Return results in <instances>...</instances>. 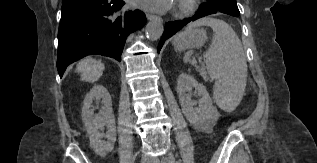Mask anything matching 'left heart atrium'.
I'll return each instance as SVG.
<instances>
[{
    "label": "left heart atrium",
    "mask_w": 317,
    "mask_h": 163,
    "mask_svg": "<svg viewBox=\"0 0 317 163\" xmlns=\"http://www.w3.org/2000/svg\"><path fill=\"white\" fill-rule=\"evenodd\" d=\"M139 6L156 11H166L173 5L174 0H133Z\"/></svg>",
    "instance_id": "39dd6f15"
}]
</instances>
